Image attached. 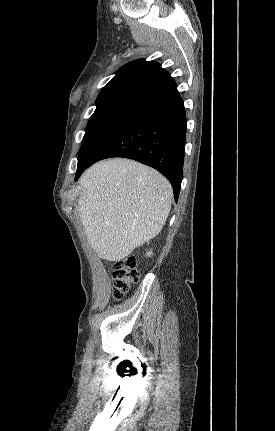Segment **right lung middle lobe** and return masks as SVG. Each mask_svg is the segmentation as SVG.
I'll use <instances>...</instances> for the list:
<instances>
[{"label": "right lung middle lobe", "mask_w": 275, "mask_h": 431, "mask_svg": "<svg viewBox=\"0 0 275 431\" xmlns=\"http://www.w3.org/2000/svg\"><path fill=\"white\" fill-rule=\"evenodd\" d=\"M135 110L119 109L93 114L88 121L78 155L77 171L85 167Z\"/></svg>", "instance_id": "obj_1"}]
</instances>
